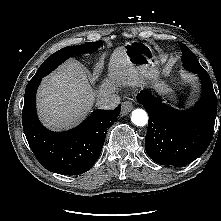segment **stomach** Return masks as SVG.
Wrapping results in <instances>:
<instances>
[{"label": "stomach", "instance_id": "0dacf381", "mask_svg": "<svg viewBox=\"0 0 221 221\" xmlns=\"http://www.w3.org/2000/svg\"><path fill=\"white\" fill-rule=\"evenodd\" d=\"M122 48L130 64L146 75L161 94L173 97L171 88L159 80L160 55L155 47L142 41H131Z\"/></svg>", "mask_w": 221, "mask_h": 221}]
</instances>
